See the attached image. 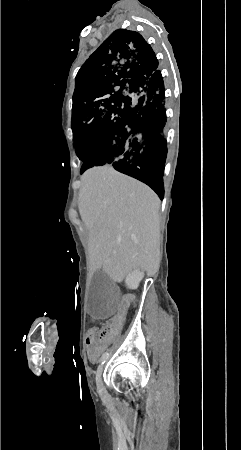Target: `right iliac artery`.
I'll return each instance as SVG.
<instances>
[{
	"instance_id": "right-iliac-artery-1",
	"label": "right iliac artery",
	"mask_w": 241,
	"mask_h": 450,
	"mask_svg": "<svg viewBox=\"0 0 241 450\" xmlns=\"http://www.w3.org/2000/svg\"><path fill=\"white\" fill-rule=\"evenodd\" d=\"M107 356H108V353H107V352H105V353L102 355V364H103V361L107 358Z\"/></svg>"
}]
</instances>
